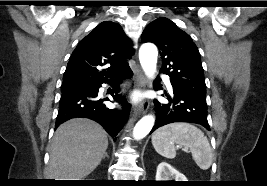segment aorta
Wrapping results in <instances>:
<instances>
[{"label":"aorta","mask_w":267,"mask_h":186,"mask_svg":"<svg viewBox=\"0 0 267 186\" xmlns=\"http://www.w3.org/2000/svg\"><path fill=\"white\" fill-rule=\"evenodd\" d=\"M158 51L155 45L146 43L139 50V60L145 74L152 78L156 71ZM155 119L152 115L144 116L134 127L133 136L135 139H142L150 133L154 126Z\"/></svg>","instance_id":"1"}]
</instances>
